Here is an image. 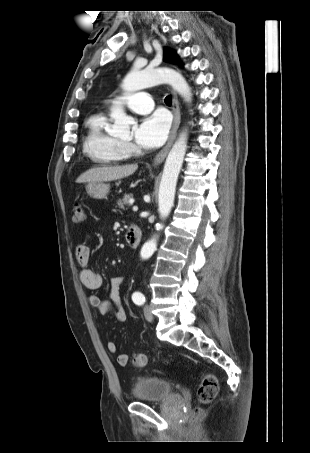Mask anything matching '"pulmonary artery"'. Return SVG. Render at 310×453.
I'll return each mask as SVG.
<instances>
[{
  "label": "pulmonary artery",
  "instance_id": "1",
  "mask_svg": "<svg viewBox=\"0 0 310 453\" xmlns=\"http://www.w3.org/2000/svg\"><path fill=\"white\" fill-rule=\"evenodd\" d=\"M125 104L133 112L138 114H146L152 111L154 103L148 93L138 92L130 95L117 96L112 100Z\"/></svg>",
  "mask_w": 310,
  "mask_h": 453
}]
</instances>
